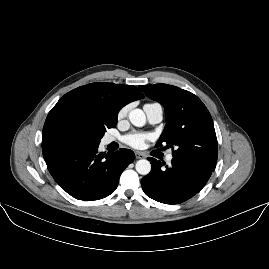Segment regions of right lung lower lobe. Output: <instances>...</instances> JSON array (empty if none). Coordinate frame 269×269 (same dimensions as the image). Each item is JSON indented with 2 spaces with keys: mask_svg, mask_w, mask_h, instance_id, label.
<instances>
[{
  "mask_svg": "<svg viewBox=\"0 0 269 269\" xmlns=\"http://www.w3.org/2000/svg\"><path fill=\"white\" fill-rule=\"evenodd\" d=\"M99 144H81L70 138L42 143L43 157L54 180L68 194L83 201L109 196L135 154L129 149L102 153Z\"/></svg>",
  "mask_w": 269,
  "mask_h": 269,
  "instance_id": "98d812e1",
  "label": "right lung lower lobe"
}]
</instances>
